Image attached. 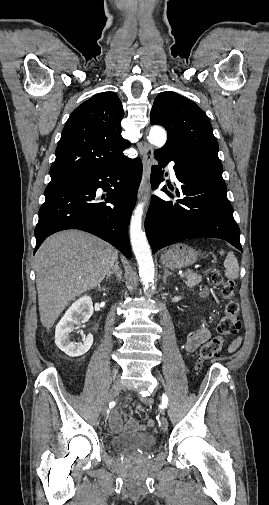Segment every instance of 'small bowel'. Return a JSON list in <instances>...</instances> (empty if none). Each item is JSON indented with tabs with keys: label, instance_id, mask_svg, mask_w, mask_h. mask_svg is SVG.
I'll return each mask as SVG.
<instances>
[{
	"label": "small bowel",
	"instance_id": "small-bowel-1",
	"mask_svg": "<svg viewBox=\"0 0 269 505\" xmlns=\"http://www.w3.org/2000/svg\"><path fill=\"white\" fill-rule=\"evenodd\" d=\"M207 295V288L202 290V296ZM211 336L210 330L206 326H201L190 335L185 342V350L194 352L201 344L206 342ZM240 338L233 340L229 346V351H234L240 345ZM110 427L115 432H125L136 434L154 426V420L148 419L145 423L139 424L131 415H124L122 408H115L110 415Z\"/></svg>",
	"mask_w": 269,
	"mask_h": 505
}]
</instances>
